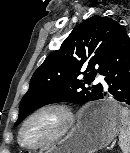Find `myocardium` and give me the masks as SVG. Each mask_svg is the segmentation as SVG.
<instances>
[{
	"label": "myocardium",
	"mask_w": 130,
	"mask_h": 153,
	"mask_svg": "<svg viewBox=\"0 0 130 153\" xmlns=\"http://www.w3.org/2000/svg\"><path fill=\"white\" fill-rule=\"evenodd\" d=\"M46 112H55L60 115L62 119L61 127L59 130L52 135L49 139L46 141H43L41 143L30 145L24 143L22 140L23 132L26 128V126L32 121L35 117L42 113ZM76 122V114L74 110L67 104L64 103H58V102H51L44 105L39 106L35 110H33L22 122L19 131H18V142L19 144L29 150H38L44 147H48L61 139H63L73 128L74 124Z\"/></svg>",
	"instance_id": "myocardium-1"
}]
</instances>
